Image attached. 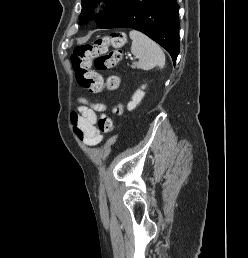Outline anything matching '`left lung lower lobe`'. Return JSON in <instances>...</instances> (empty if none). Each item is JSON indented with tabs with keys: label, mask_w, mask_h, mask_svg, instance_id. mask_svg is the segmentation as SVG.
<instances>
[{
	"label": "left lung lower lobe",
	"mask_w": 248,
	"mask_h": 258,
	"mask_svg": "<svg viewBox=\"0 0 248 258\" xmlns=\"http://www.w3.org/2000/svg\"><path fill=\"white\" fill-rule=\"evenodd\" d=\"M178 10L176 0H129L99 28L128 27L139 30L165 48L175 64L179 54Z\"/></svg>",
	"instance_id": "obj_1"
}]
</instances>
